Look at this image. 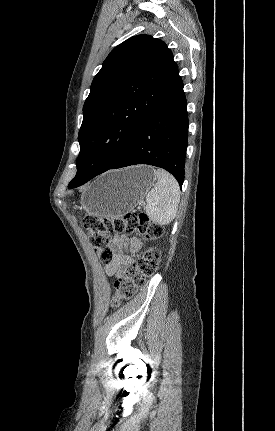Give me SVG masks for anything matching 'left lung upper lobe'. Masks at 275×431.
Masks as SVG:
<instances>
[{"label": "left lung upper lobe", "instance_id": "left-lung-upper-lobe-1", "mask_svg": "<svg viewBox=\"0 0 275 431\" xmlns=\"http://www.w3.org/2000/svg\"><path fill=\"white\" fill-rule=\"evenodd\" d=\"M177 72L170 49L150 35L131 37L110 52L83 106L77 174L94 175L120 157Z\"/></svg>", "mask_w": 275, "mask_h": 431}]
</instances>
